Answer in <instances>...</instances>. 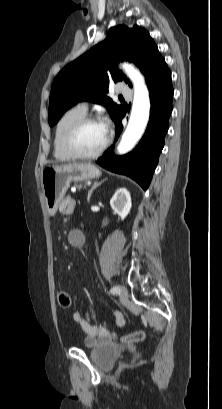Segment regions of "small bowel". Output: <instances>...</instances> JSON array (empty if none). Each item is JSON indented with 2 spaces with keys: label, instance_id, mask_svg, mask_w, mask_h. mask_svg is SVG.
Returning a JSON list of instances; mask_svg holds the SVG:
<instances>
[{
  "label": "small bowel",
  "instance_id": "c3829d8e",
  "mask_svg": "<svg viewBox=\"0 0 222 409\" xmlns=\"http://www.w3.org/2000/svg\"><path fill=\"white\" fill-rule=\"evenodd\" d=\"M76 208V202L72 197L65 198L59 206V211L63 214L69 215L74 212ZM73 319L78 322L86 334L85 345L92 347L98 344H104L111 341V336L106 327L91 323L90 315L84 318L80 312H74ZM115 324L117 326L124 325V317L121 312L114 313Z\"/></svg>",
  "mask_w": 222,
  "mask_h": 409
}]
</instances>
